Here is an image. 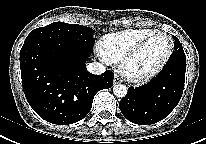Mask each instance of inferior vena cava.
I'll use <instances>...</instances> for the list:
<instances>
[{
    "instance_id": "1",
    "label": "inferior vena cava",
    "mask_w": 206,
    "mask_h": 144,
    "mask_svg": "<svg viewBox=\"0 0 206 144\" xmlns=\"http://www.w3.org/2000/svg\"><path fill=\"white\" fill-rule=\"evenodd\" d=\"M87 70L92 74L101 75L105 72V66L98 62H93L87 66Z\"/></svg>"
}]
</instances>
